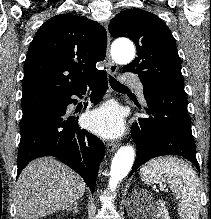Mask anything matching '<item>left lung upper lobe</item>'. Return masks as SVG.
<instances>
[{"instance_id":"obj_1","label":"left lung upper lobe","mask_w":211,"mask_h":219,"mask_svg":"<svg viewBox=\"0 0 211 219\" xmlns=\"http://www.w3.org/2000/svg\"><path fill=\"white\" fill-rule=\"evenodd\" d=\"M108 28L113 38L128 37L136 45L137 57L123 67V72L137 73L143 87H184L175 39L158 16L133 8L117 14Z\"/></svg>"}]
</instances>
